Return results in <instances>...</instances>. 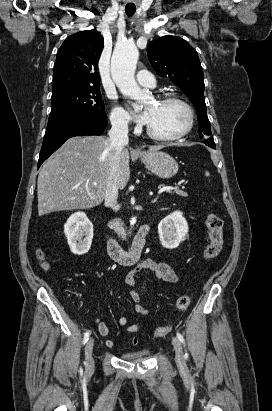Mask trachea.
<instances>
[{
  "mask_svg": "<svg viewBox=\"0 0 272 411\" xmlns=\"http://www.w3.org/2000/svg\"><path fill=\"white\" fill-rule=\"evenodd\" d=\"M125 12H126L127 16L131 17L135 14L136 7L135 6H126L125 7Z\"/></svg>",
  "mask_w": 272,
  "mask_h": 411,
  "instance_id": "3493384b",
  "label": "trachea"
}]
</instances>
